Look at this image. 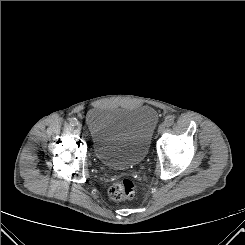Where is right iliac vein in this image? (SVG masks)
Wrapping results in <instances>:
<instances>
[{
  "mask_svg": "<svg viewBox=\"0 0 245 245\" xmlns=\"http://www.w3.org/2000/svg\"><path fill=\"white\" fill-rule=\"evenodd\" d=\"M81 128H82V125L78 124V129L81 130Z\"/></svg>",
  "mask_w": 245,
  "mask_h": 245,
  "instance_id": "right-iliac-vein-1",
  "label": "right iliac vein"
}]
</instances>
